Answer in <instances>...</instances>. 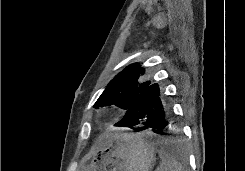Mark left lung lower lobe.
Returning <instances> with one entry per match:
<instances>
[{"label":"left lung lower lobe","mask_w":245,"mask_h":171,"mask_svg":"<svg viewBox=\"0 0 245 171\" xmlns=\"http://www.w3.org/2000/svg\"><path fill=\"white\" fill-rule=\"evenodd\" d=\"M172 118L171 106L161 96L159 85L155 83L140 93L133 107L115 126L130 127L135 131L152 128L154 133L166 135Z\"/></svg>","instance_id":"0a47b994"}]
</instances>
